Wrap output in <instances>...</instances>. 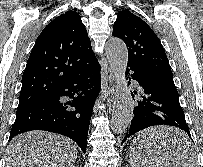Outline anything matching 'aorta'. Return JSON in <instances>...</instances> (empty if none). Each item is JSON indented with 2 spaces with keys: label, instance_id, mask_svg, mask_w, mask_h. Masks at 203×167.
Here are the masks:
<instances>
[{
  "label": "aorta",
  "instance_id": "obj_1",
  "mask_svg": "<svg viewBox=\"0 0 203 167\" xmlns=\"http://www.w3.org/2000/svg\"><path fill=\"white\" fill-rule=\"evenodd\" d=\"M105 51L116 80L115 104L111 127L114 133L123 134L131 124L134 110V103L125 78L128 50L121 39L111 38L106 43Z\"/></svg>",
  "mask_w": 203,
  "mask_h": 167
}]
</instances>
